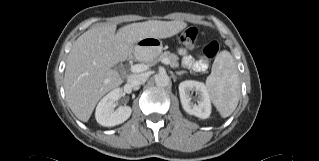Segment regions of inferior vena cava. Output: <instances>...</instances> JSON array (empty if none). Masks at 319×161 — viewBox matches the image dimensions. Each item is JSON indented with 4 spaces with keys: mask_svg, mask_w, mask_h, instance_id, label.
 Here are the masks:
<instances>
[{
    "mask_svg": "<svg viewBox=\"0 0 319 161\" xmlns=\"http://www.w3.org/2000/svg\"><path fill=\"white\" fill-rule=\"evenodd\" d=\"M148 75L145 73L132 74L128 77L127 82L133 86L141 85L146 82Z\"/></svg>",
    "mask_w": 319,
    "mask_h": 161,
    "instance_id": "1",
    "label": "inferior vena cava"
}]
</instances>
